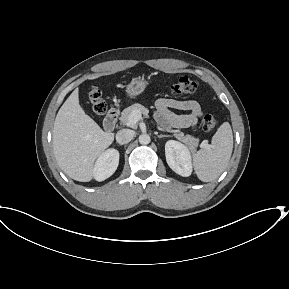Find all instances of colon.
Returning a JSON list of instances; mask_svg holds the SVG:
<instances>
[{
	"label": "colon",
	"instance_id": "5ec220e1",
	"mask_svg": "<svg viewBox=\"0 0 289 289\" xmlns=\"http://www.w3.org/2000/svg\"><path fill=\"white\" fill-rule=\"evenodd\" d=\"M198 82L187 75L177 77L169 86L168 90L177 95H189L196 92L198 89ZM88 101L92 110L101 115L106 111V104L102 99V93L97 86L90 88L88 92ZM219 124V121L213 115H205L202 120L203 130L206 132L213 131Z\"/></svg>",
	"mask_w": 289,
	"mask_h": 289
}]
</instances>
